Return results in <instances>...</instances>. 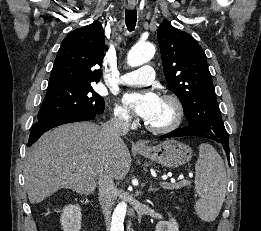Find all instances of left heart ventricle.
I'll return each instance as SVG.
<instances>
[{
	"label": "left heart ventricle",
	"mask_w": 261,
	"mask_h": 231,
	"mask_svg": "<svg viewBox=\"0 0 261 231\" xmlns=\"http://www.w3.org/2000/svg\"><path fill=\"white\" fill-rule=\"evenodd\" d=\"M173 119L174 109L172 105L169 102L160 99L158 107L147 122L153 126L163 127L170 124Z\"/></svg>",
	"instance_id": "b2bd125f"
}]
</instances>
